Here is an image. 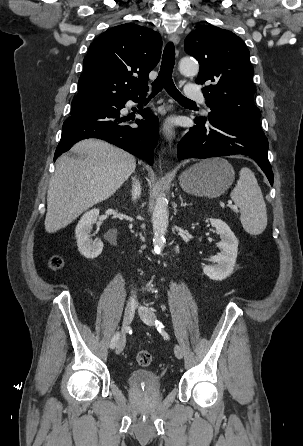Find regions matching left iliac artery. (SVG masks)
I'll return each instance as SVG.
<instances>
[{"mask_svg":"<svg viewBox=\"0 0 303 446\" xmlns=\"http://www.w3.org/2000/svg\"><path fill=\"white\" fill-rule=\"evenodd\" d=\"M155 326L158 328V330H161L162 328H164V326L162 325V323L159 320L155 321Z\"/></svg>","mask_w":303,"mask_h":446,"instance_id":"1","label":"left iliac artery"}]
</instances>
